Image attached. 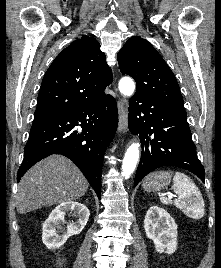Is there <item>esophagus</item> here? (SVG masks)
<instances>
[{"label": "esophagus", "mask_w": 221, "mask_h": 268, "mask_svg": "<svg viewBox=\"0 0 221 268\" xmlns=\"http://www.w3.org/2000/svg\"><path fill=\"white\" fill-rule=\"evenodd\" d=\"M118 111H119V132L124 133L126 131V123L128 116V104L125 99L119 100Z\"/></svg>", "instance_id": "1"}]
</instances>
